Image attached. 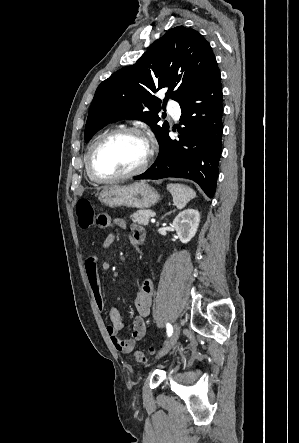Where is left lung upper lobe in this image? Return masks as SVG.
<instances>
[{
    "instance_id": "obj_1",
    "label": "left lung upper lobe",
    "mask_w": 299,
    "mask_h": 443,
    "mask_svg": "<svg viewBox=\"0 0 299 443\" xmlns=\"http://www.w3.org/2000/svg\"><path fill=\"white\" fill-rule=\"evenodd\" d=\"M214 62L212 48L200 33L183 26L170 29L134 65L118 70L99 85L89 110L85 141L108 123L139 119L151 126L160 142L169 124L157 125L161 100L154 94L163 89V104L169 98L180 104Z\"/></svg>"
}]
</instances>
